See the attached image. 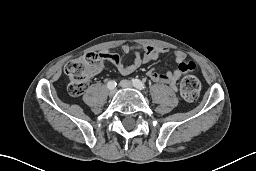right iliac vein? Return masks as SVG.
Masks as SVG:
<instances>
[{
	"label": "right iliac vein",
	"mask_w": 256,
	"mask_h": 171,
	"mask_svg": "<svg viewBox=\"0 0 256 171\" xmlns=\"http://www.w3.org/2000/svg\"><path fill=\"white\" fill-rule=\"evenodd\" d=\"M115 93H116V89H115V87H114V88L109 89V95L113 96Z\"/></svg>",
	"instance_id": "63e3f726"
}]
</instances>
